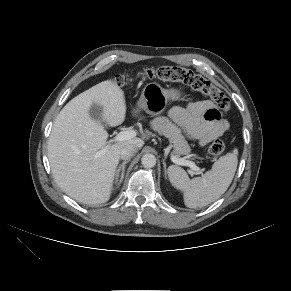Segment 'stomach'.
Instances as JSON below:
<instances>
[{"mask_svg":"<svg viewBox=\"0 0 291 291\" xmlns=\"http://www.w3.org/2000/svg\"><path fill=\"white\" fill-rule=\"evenodd\" d=\"M182 97L183 93L179 89H164L156 82L148 83L143 88L137 110L159 115L166 109L169 101H180Z\"/></svg>","mask_w":291,"mask_h":291,"instance_id":"0dacf381","label":"stomach"}]
</instances>
